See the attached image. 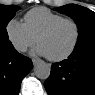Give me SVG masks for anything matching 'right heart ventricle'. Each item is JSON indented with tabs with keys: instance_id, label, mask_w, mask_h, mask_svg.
I'll return each instance as SVG.
<instances>
[{
	"instance_id": "1",
	"label": "right heart ventricle",
	"mask_w": 95,
	"mask_h": 95,
	"mask_svg": "<svg viewBox=\"0 0 95 95\" xmlns=\"http://www.w3.org/2000/svg\"><path fill=\"white\" fill-rule=\"evenodd\" d=\"M63 16L44 7H37L28 11L24 16V24L29 33L37 38L39 33L51 23L62 19Z\"/></svg>"
}]
</instances>
